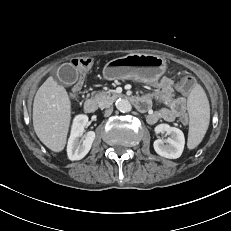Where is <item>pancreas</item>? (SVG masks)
<instances>
[{"label":"pancreas","instance_id":"obj_1","mask_svg":"<svg viewBox=\"0 0 231 231\" xmlns=\"http://www.w3.org/2000/svg\"><path fill=\"white\" fill-rule=\"evenodd\" d=\"M92 96L100 108H105L111 106L119 95L115 92L97 91L93 92Z\"/></svg>","mask_w":231,"mask_h":231}]
</instances>
